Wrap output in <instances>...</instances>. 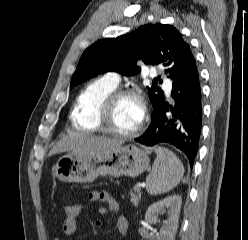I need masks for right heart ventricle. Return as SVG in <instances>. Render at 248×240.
<instances>
[{"instance_id": "right-heart-ventricle-1", "label": "right heart ventricle", "mask_w": 248, "mask_h": 240, "mask_svg": "<svg viewBox=\"0 0 248 240\" xmlns=\"http://www.w3.org/2000/svg\"><path fill=\"white\" fill-rule=\"evenodd\" d=\"M116 87L105 78L96 79L86 85L74 102L70 114L72 127L84 132H98L97 109L103 99Z\"/></svg>"}]
</instances>
